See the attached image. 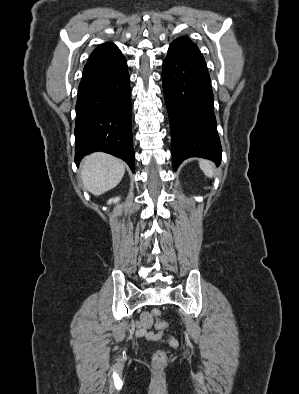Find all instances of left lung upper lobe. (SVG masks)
<instances>
[{
	"instance_id": "5c2ea615",
	"label": "left lung upper lobe",
	"mask_w": 299,
	"mask_h": 394,
	"mask_svg": "<svg viewBox=\"0 0 299 394\" xmlns=\"http://www.w3.org/2000/svg\"><path fill=\"white\" fill-rule=\"evenodd\" d=\"M170 46L198 49L197 45L190 41L187 36L177 38Z\"/></svg>"
}]
</instances>
